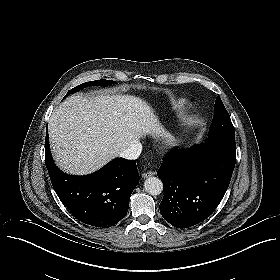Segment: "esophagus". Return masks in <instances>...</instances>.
Listing matches in <instances>:
<instances>
[{
  "mask_svg": "<svg viewBox=\"0 0 280 280\" xmlns=\"http://www.w3.org/2000/svg\"><path fill=\"white\" fill-rule=\"evenodd\" d=\"M155 174V172H153V171H149V172H145V173H142V178H148V177H151V176H153Z\"/></svg>",
  "mask_w": 280,
  "mask_h": 280,
  "instance_id": "1",
  "label": "esophagus"
}]
</instances>
